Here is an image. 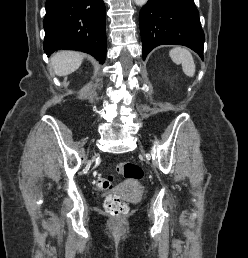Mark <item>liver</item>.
<instances>
[{"label": "liver", "instance_id": "liver-1", "mask_svg": "<svg viewBox=\"0 0 248 258\" xmlns=\"http://www.w3.org/2000/svg\"><path fill=\"white\" fill-rule=\"evenodd\" d=\"M83 61V55L73 51H59L51 57V65L58 76L76 71Z\"/></svg>", "mask_w": 248, "mask_h": 258}]
</instances>
